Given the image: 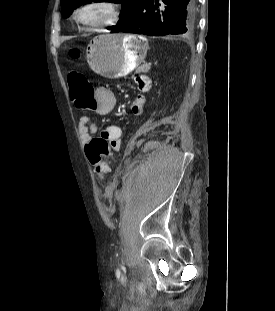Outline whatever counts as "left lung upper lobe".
Here are the masks:
<instances>
[{
	"mask_svg": "<svg viewBox=\"0 0 275 311\" xmlns=\"http://www.w3.org/2000/svg\"><path fill=\"white\" fill-rule=\"evenodd\" d=\"M91 2L122 3V9L119 15L120 19L118 22V28H121L136 18V15L142 5L143 0H61V9L63 12V16L68 17L69 14L80 5Z\"/></svg>",
	"mask_w": 275,
	"mask_h": 311,
	"instance_id": "5c2ea615",
	"label": "left lung upper lobe"
}]
</instances>
